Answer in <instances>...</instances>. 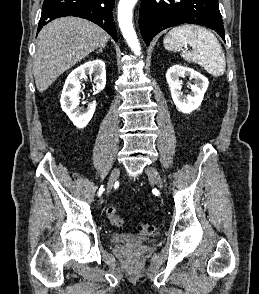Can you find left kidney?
I'll return each mask as SVG.
<instances>
[{"label": "left kidney", "mask_w": 259, "mask_h": 294, "mask_svg": "<svg viewBox=\"0 0 259 294\" xmlns=\"http://www.w3.org/2000/svg\"><path fill=\"white\" fill-rule=\"evenodd\" d=\"M186 75L194 79V84L190 87L191 92L187 96H184L181 92L179 77ZM166 80L170 87L174 104L179 111L185 114H190L192 111L198 109L209 85L208 79L199 72L180 65H174L168 69Z\"/></svg>", "instance_id": "left-kidney-1"}]
</instances>
